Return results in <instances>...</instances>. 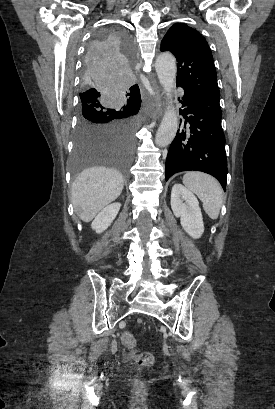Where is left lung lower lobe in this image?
Here are the masks:
<instances>
[{
  "label": "left lung lower lobe",
  "mask_w": 275,
  "mask_h": 409,
  "mask_svg": "<svg viewBox=\"0 0 275 409\" xmlns=\"http://www.w3.org/2000/svg\"><path fill=\"white\" fill-rule=\"evenodd\" d=\"M181 87L185 90V97L179 100L186 108L180 109V114L186 120L168 151L166 181L178 172L203 171L217 178L226 191L227 159L220 98Z\"/></svg>",
  "instance_id": "1"
}]
</instances>
